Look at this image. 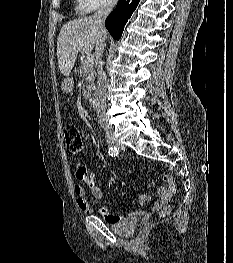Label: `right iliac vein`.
<instances>
[{
    "mask_svg": "<svg viewBox=\"0 0 233 263\" xmlns=\"http://www.w3.org/2000/svg\"><path fill=\"white\" fill-rule=\"evenodd\" d=\"M107 142L111 146L117 147V148H123V145L119 142V140L114 137L112 134L107 135Z\"/></svg>",
    "mask_w": 233,
    "mask_h": 263,
    "instance_id": "1",
    "label": "right iliac vein"
}]
</instances>
